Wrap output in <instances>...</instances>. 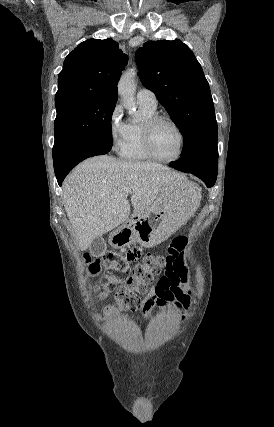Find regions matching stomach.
I'll return each instance as SVG.
<instances>
[{
    "instance_id": "1",
    "label": "stomach",
    "mask_w": 274,
    "mask_h": 427,
    "mask_svg": "<svg viewBox=\"0 0 274 427\" xmlns=\"http://www.w3.org/2000/svg\"><path fill=\"white\" fill-rule=\"evenodd\" d=\"M177 182L178 190L169 186L172 194L165 202H155L152 208L143 214H132L123 225L109 233L112 247H128L131 243H140L144 247H154L176 231V215H190L196 212L199 204V188L192 182Z\"/></svg>"
}]
</instances>
